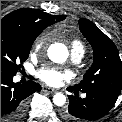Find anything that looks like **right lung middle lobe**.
<instances>
[{"label":"right lung middle lobe","mask_w":122,"mask_h":122,"mask_svg":"<svg viewBox=\"0 0 122 122\" xmlns=\"http://www.w3.org/2000/svg\"><path fill=\"white\" fill-rule=\"evenodd\" d=\"M39 33H28L20 28L1 26V71L15 75L27 60L31 46Z\"/></svg>","instance_id":"right-lung-middle-lobe-1"}]
</instances>
